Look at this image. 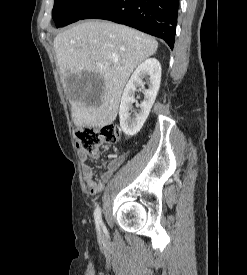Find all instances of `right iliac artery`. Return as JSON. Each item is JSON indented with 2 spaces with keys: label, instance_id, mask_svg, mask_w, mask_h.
Here are the masks:
<instances>
[{
  "label": "right iliac artery",
  "instance_id": "right-iliac-artery-1",
  "mask_svg": "<svg viewBox=\"0 0 247 275\" xmlns=\"http://www.w3.org/2000/svg\"><path fill=\"white\" fill-rule=\"evenodd\" d=\"M94 219H95L97 231L100 232V228L103 223L101 218V209L99 206H97L94 210Z\"/></svg>",
  "mask_w": 247,
  "mask_h": 275
}]
</instances>
